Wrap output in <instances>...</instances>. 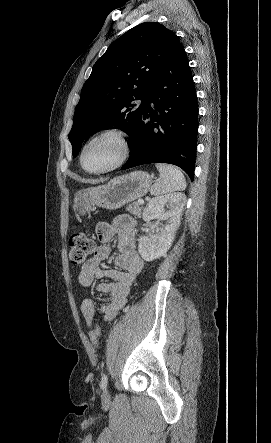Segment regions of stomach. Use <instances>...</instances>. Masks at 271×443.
I'll use <instances>...</instances> for the list:
<instances>
[{
    "mask_svg": "<svg viewBox=\"0 0 271 443\" xmlns=\"http://www.w3.org/2000/svg\"><path fill=\"white\" fill-rule=\"evenodd\" d=\"M151 184L152 178L148 172H131L126 176L113 178L106 186L79 190L74 194L72 208L74 212L82 216L90 212L92 206L118 210L121 206L145 196Z\"/></svg>",
    "mask_w": 271,
    "mask_h": 443,
    "instance_id": "stomach-1",
    "label": "stomach"
}]
</instances>
